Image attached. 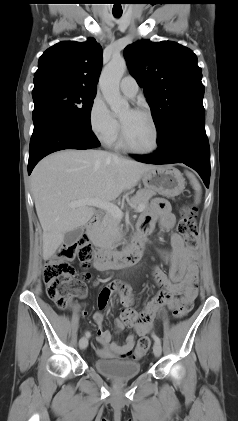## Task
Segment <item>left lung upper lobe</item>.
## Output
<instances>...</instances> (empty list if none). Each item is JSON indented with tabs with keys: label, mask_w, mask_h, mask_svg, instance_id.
Wrapping results in <instances>:
<instances>
[{
	"label": "left lung upper lobe",
	"mask_w": 238,
	"mask_h": 421,
	"mask_svg": "<svg viewBox=\"0 0 238 421\" xmlns=\"http://www.w3.org/2000/svg\"><path fill=\"white\" fill-rule=\"evenodd\" d=\"M130 73L144 89L162 138L182 118L205 113L202 70L196 55L170 41L141 40L124 50Z\"/></svg>",
	"instance_id": "1"
}]
</instances>
